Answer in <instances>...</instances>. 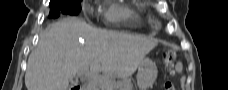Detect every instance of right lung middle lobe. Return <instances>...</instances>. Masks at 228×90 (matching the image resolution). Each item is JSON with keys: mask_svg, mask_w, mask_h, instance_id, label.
<instances>
[{"mask_svg": "<svg viewBox=\"0 0 228 90\" xmlns=\"http://www.w3.org/2000/svg\"><path fill=\"white\" fill-rule=\"evenodd\" d=\"M80 2L81 0H51L50 17H58V10L64 14L76 15L81 10Z\"/></svg>", "mask_w": 228, "mask_h": 90, "instance_id": "obj_1", "label": "right lung middle lobe"}]
</instances>
